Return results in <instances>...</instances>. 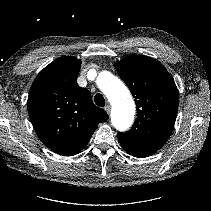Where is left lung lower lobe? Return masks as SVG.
Wrapping results in <instances>:
<instances>
[{
  "label": "left lung lower lobe",
  "mask_w": 211,
  "mask_h": 211,
  "mask_svg": "<svg viewBox=\"0 0 211 211\" xmlns=\"http://www.w3.org/2000/svg\"><path fill=\"white\" fill-rule=\"evenodd\" d=\"M122 148L132 156L144 158L157 152L165 143L143 142L118 135Z\"/></svg>",
  "instance_id": "0a47b994"
}]
</instances>
